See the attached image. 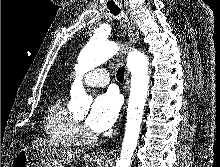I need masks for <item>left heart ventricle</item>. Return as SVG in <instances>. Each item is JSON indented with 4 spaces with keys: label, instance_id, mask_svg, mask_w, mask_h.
<instances>
[{
    "label": "left heart ventricle",
    "instance_id": "left-heart-ventricle-1",
    "mask_svg": "<svg viewBox=\"0 0 220 167\" xmlns=\"http://www.w3.org/2000/svg\"><path fill=\"white\" fill-rule=\"evenodd\" d=\"M84 117H85V116H80L79 118L82 120V119H84Z\"/></svg>",
    "mask_w": 220,
    "mask_h": 167
}]
</instances>
